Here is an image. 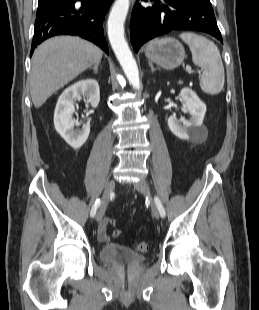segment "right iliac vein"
<instances>
[{
  "mask_svg": "<svg viewBox=\"0 0 259 310\" xmlns=\"http://www.w3.org/2000/svg\"><path fill=\"white\" fill-rule=\"evenodd\" d=\"M114 188H115V181L110 180L105 187V190L102 196V201H101L100 207L96 215L97 222H99L103 218L107 205H108L110 194L113 192Z\"/></svg>",
  "mask_w": 259,
  "mask_h": 310,
  "instance_id": "1",
  "label": "right iliac vein"
}]
</instances>
